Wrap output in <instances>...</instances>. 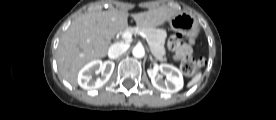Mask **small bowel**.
I'll list each match as a JSON object with an SVG mask.
<instances>
[{
    "label": "small bowel",
    "instance_id": "c3829d8e",
    "mask_svg": "<svg viewBox=\"0 0 276 120\" xmlns=\"http://www.w3.org/2000/svg\"><path fill=\"white\" fill-rule=\"evenodd\" d=\"M191 52H192V50H191L190 46L185 45L183 50H182V53L191 54Z\"/></svg>",
    "mask_w": 276,
    "mask_h": 120
}]
</instances>
